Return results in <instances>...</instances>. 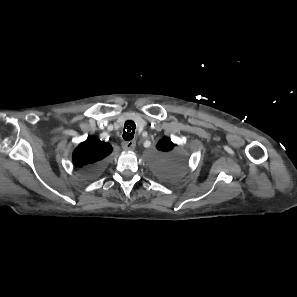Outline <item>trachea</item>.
Segmentation results:
<instances>
[{"label": "trachea", "mask_w": 297, "mask_h": 297, "mask_svg": "<svg viewBox=\"0 0 297 297\" xmlns=\"http://www.w3.org/2000/svg\"><path fill=\"white\" fill-rule=\"evenodd\" d=\"M136 125L132 120H128L124 124V130H123V139L126 141H130L134 137Z\"/></svg>", "instance_id": "1"}]
</instances>
